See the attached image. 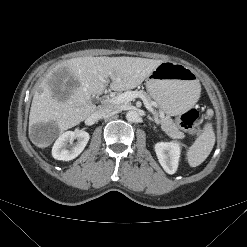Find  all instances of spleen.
<instances>
[{
	"mask_svg": "<svg viewBox=\"0 0 247 247\" xmlns=\"http://www.w3.org/2000/svg\"><path fill=\"white\" fill-rule=\"evenodd\" d=\"M212 115V111L208 112ZM215 144V134L211 123L204 126L202 134L187 151V160L191 167L199 166L209 156Z\"/></svg>",
	"mask_w": 247,
	"mask_h": 247,
	"instance_id": "obj_1",
	"label": "spleen"
}]
</instances>
